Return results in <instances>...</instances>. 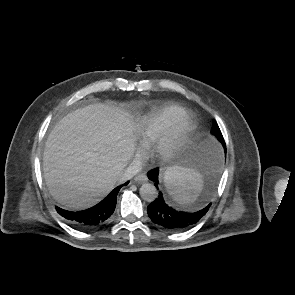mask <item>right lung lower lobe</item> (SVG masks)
<instances>
[{
    "label": "right lung lower lobe",
    "mask_w": 295,
    "mask_h": 295,
    "mask_svg": "<svg viewBox=\"0 0 295 295\" xmlns=\"http://www.w3.org/2000/svg\"><path fill=\"white\" fill-rule=\"evenodd\" d=\"M125 184H128L125 183ZM116 187L99 204L87 210L72 212L56 207L57 212L67 219L72 225L82 229H91L102 225L114 212L117 201V194L122 186Z\"/></svg>",
    "instance_id": "98d812e1"
}]
</instances>
